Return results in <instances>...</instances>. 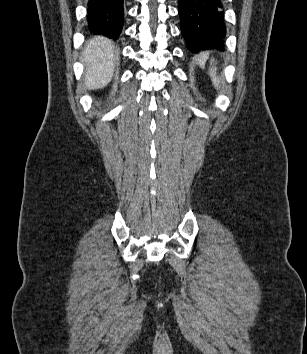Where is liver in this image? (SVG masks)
Masks as SVG:
<instances>
[{
    "instance_id": "obj_1",
    "label": "liver",
    "mask_w": 307,
    "mask_h": 354,
    "mask_svg": "<svg viewBox=\"0 0 307 354\" xmlns=\"http://www.w3.org/2000/svg\"><path fill=\"white\" fill-rule=\"evenodd\" d=\"M116 53L112 42L104 37H95L86 44L81 61L86 65L84 84L87 89L108 85L113 77Z\"/></svg>"
}]
</instances>
